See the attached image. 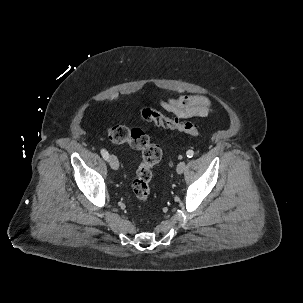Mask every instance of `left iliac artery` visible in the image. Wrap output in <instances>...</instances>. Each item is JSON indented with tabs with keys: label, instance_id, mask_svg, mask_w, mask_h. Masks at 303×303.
<instances>
[{
	"label": "left iliac artery",
	"instance_id": "44dca946",
	"mask_svg": "<svg viewBox=\"0 0 303 303\" xmlns=\"http://www.w3.org/2000/svg\"><path fill=\"white\" fill-rule=\"evenodd\" d=\"M186 155H187L188 158H191V157H193L194 152H193L192 150H188V151L186 152Z\"/></svg>",
	"mask_w": 303,
	"mask_h": 303
}]
</instances>
